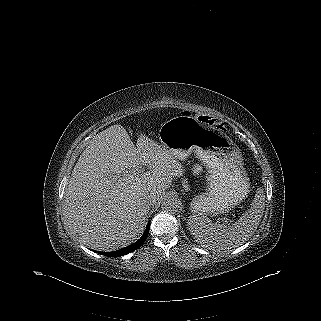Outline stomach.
<instances>
[{
	"mask_svg": "<svg viewBox=\"0 0 321 321\" xmlns=\"http://www.w3.org/2000/svg\"><path fill=\"white\" fill-rule=\"evenodd\" d=\"M159 140L175 159L184 160L195 152L208 169L207 191L191 203L194 213H224L243 199L247 182L241 155L225 134L184 115L166 121L159 130Z\"/></svg>",
	"mask_w": 321,
	"mask_h": 321,
	"instance_id": "1",
	"label": "stomach"
}]
</instances>
